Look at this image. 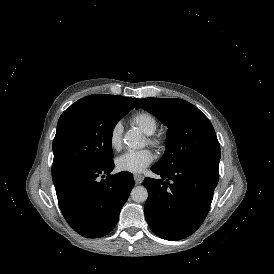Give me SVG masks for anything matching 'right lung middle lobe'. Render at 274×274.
<instances>
[{
  "mask_svg": "<svg viewBox=\"0 0 274 274\" xmlns=\"http://www.w3.org/2000/svg\"><path fill=\"white\" fill-rule=\"evenodd\" d=\"M134 107L126 100H109L66 109L53 141L52 172L78 165L112 164L114 127Z\"/></svg>",
  "mask_w": 274,
  "mask_h": 274,
  "instance_id": "dd1d6c3e",
  "label": "right lung middle lobe"
}]
</instances>
